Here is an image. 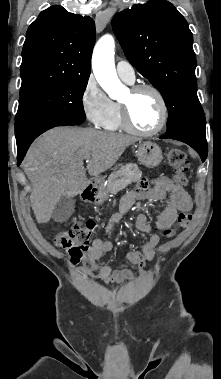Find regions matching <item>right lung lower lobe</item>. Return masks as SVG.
Listing matches in <instances>:
<instances>
[{"label":"right lung lower lobe","instance_id":"1","mask_svg":"<svg viewBox=\"0 0 221 379\" xmlns=\"http://www.w3.org/2000/svg\"><path fill=\"white\" fill-rule=\"evenodd\" d=\"M69 125H78V124H74V123H69ZM34 140V139H33ZM33 140H29L27 142H23V143H17V160H18V165L22 162L30 144L32 143Z\"/></svg>","mask_w":221,"mask_h":379}]
</instances>
